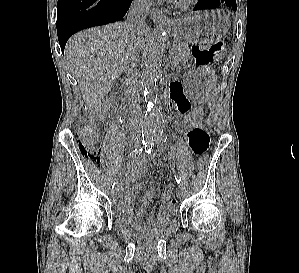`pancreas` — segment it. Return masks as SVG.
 <instances>
[{
    "label": "pancreas",
    "instance_id": "pancreas-1",
    "mask_svg": "<svg viewBox=\"0 0 299 273\" xmlns=\"http://www.w3.org/2000/svg\"><path fill=\"white\" fill-rule=\"evenodd\" d=\"M174 61L175 63H180L185 65L190 58V48L187 43H179L174 50Z\"/></svg>",
    "mask_w": 299,
    "mask_h": 273
}]
</instances>
